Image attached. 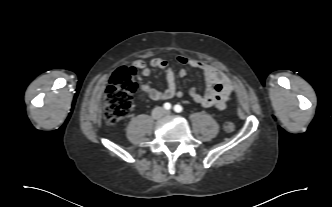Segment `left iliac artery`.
Segmentation results:
<instances>
[{"instance_id": "left-iliac-artery-1", "label": "left iliac artery", "mask_w": 332, "mask_h": 207, "mask_svg": "<svg viewBox=\"0 0 332 207\" xmlns=\"http://www.w3.org/2000/svg\"><path fill=\"white\" fill-rule=\"evenodd\" d=\"M173 109H174V111L177 112V113H180V112L183 111L182 106L179 105V104L175 105Z\"/></svg>"}]
</instances>
